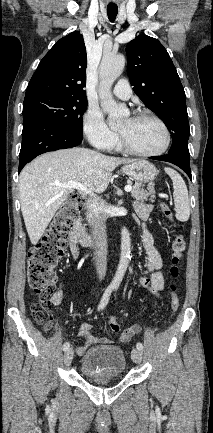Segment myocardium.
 I'll list each match as a JSON object with an SVG mask.
<instances>
[{"instance_id":"f54148a6","label":"myocardium","mask_w":213,"mask_h":433,"mask_svg":"<svg viewBox=\"0 0 213 433\" xmlns=\"http://www.w3.org/2000/svg\"><path fill=\"white\" fill-rule=\"evenodd\" d=\"M132 120H142V119H149L152 120L154 122H156L163 130L164 132V136H165V141L163 146L154 152H142V151H138L136 149H134L132 146L129 145V143L125 140V138L122 136V134H120L118 132V141H119V145L120 148L125 151L126 153L130 154V155H134V156H138V157H156V156H160L162 154H164L170 144H171V133L170 130L168 128V126L166 125V123L157 115L150 113V112H146V111H142V112H138L135 113L132 117Z\"/></svg>"}]
</instances>
